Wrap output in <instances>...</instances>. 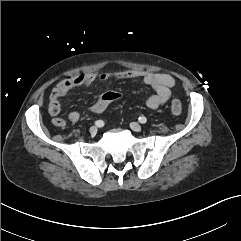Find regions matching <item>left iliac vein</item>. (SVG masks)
Returning a JSON list of instances; mask_svg holds the SVG:
<instances>
[{"instance_id": "1", "label": "left iliac vein", "mask_w": 241, "mask_h": 241, "mask_svg": "<svg viewBox=\"0 0 241 241\" xmlns=\"http://www.w3.org/2000/svg\"><path fill=\"white\" fill-rule=\"evenodd\" d=\"M130 127L133 131H136V132H140L141 129H142L141 125L139 123H136V122H132L130 124Z\"/></svg>"}]
</instances>
